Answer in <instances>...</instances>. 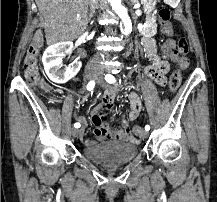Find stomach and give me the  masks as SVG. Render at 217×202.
<instances>
[{
	"instance_id": "0dacf381",
	"label": "stomach",
	"mask_w": 217,
	"mask_h": 202,
	"mask_svg": "<svg viewBox=\"0 0 217 202\" xmlns=\"http://www.w3.org/2000/svg\"><path fill=\"white\" fill-rule=\"evenodd\" d=\"M144 10L146 14H151L152 10H154L156 6L157 0H141Z\"/></svg>"
}]
</instances>
